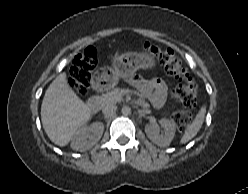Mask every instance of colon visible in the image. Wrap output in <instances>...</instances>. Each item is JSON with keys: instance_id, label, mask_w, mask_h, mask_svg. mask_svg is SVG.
I'll use <instances>...</instances> for the list:
<instances>
[{"instance_id": "colon-1", "label": "colon", "mask_w": 248, "mask_h": 194, "mask_svg": "<svg viewBox=\"0 0 248 194\" xmlns=\"http://www.w3.org/2000/svg\"><path fill=\"white\" fill-rule=\"evenodd\" d=\"M135 48L150 53L165 68L168 74L178 80L177 86L173 88L172 96L187 110L174 112L172 120L178 130H186L193 119L189 109L194 108L197 103V86L193 78L182 66L180 59L169 49L153 44H138ZM96 64L97 55L93 48H87L75 58L68 81L77 94L85 95L88 92Z\"/></svg>"}]
</instances>
